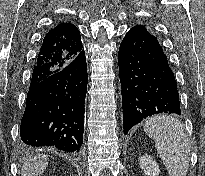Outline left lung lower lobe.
I'll return each mask as SVG.
<instances>
[{
    "instance_id": "1",
    "label": "left lung lower lobe",
    "mask_w": 205,
    "mask_h": 176,
    "mask_svg": "<svg viewBox=\"0 0 205 176\" xmlns=\"http://www.w3.org/2000/svg\"><path fill=\"white\" fill-rule=\"evenodd\" d=\"M118 64L123 100L124 134L143 119L158 113L180 115L176 80L156 37L142 25L122 40Z\"/></svg>"
}]
</instances>
